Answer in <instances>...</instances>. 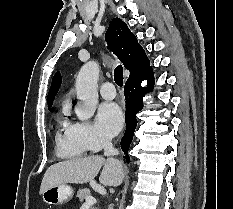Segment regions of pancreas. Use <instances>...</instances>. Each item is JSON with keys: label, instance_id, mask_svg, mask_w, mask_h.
Wrapping results in <instances>:
<instances>
[{"label": "pancreas", "instance_id": "pancreas-1", "mask_svg": "<svg viewBox=\"0 0 233 209\" xmlns=\"http://www.w3.org/2000/svg\"><path fill=\"white\" fill-rule=\"evenodd\" d=\"M91 196V192L88 188L81 189L77 192V197L79 198L80 202H84L87 197Z\"/></svg>", "mask_w": 233, "mask_h": 209}]
</instances>
